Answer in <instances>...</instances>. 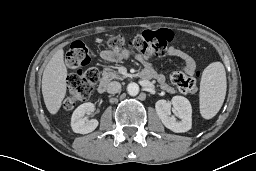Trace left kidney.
<instances>
[{
    "label": "left kidney",
    "mask_w": 256,
    "mask_h": 171,
    "mask_svg": "<svg viewBox=\"0 0 256 171\" xmlns=\"http://www.w3.org/2000/svg\"><path fill=\"white\" fill-rule=\"evenodd\" d=\"M171 107L180 121H177L174 116H171ZM155 109L164 126L171 131L182 133L191 129L192 107L187 98L183 96H174L171 102L163 99L158 100L155 104Z\"/></svg>",
    "instance_id": "1"
}]
</instances>
